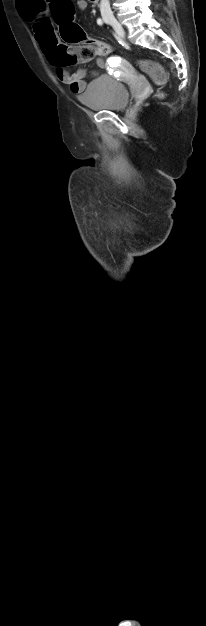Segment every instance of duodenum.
Returning a JSON list of instances; mask_svg holds the SVG:
<instances>
[{"label": "duodenum", "mask_w": 206, "mask_h": 626, "mask_svg": "<svg viewBox=\"0 0 206 626\" xmlns=\"http://www.w3.org/2000/svg\"><path fill=\"white\" fill-rule=\"evenodd\" d=\"M99 0H90L92 3H98Z\"/></svg>", "instance_id": "obj_1"}]
</instances>
